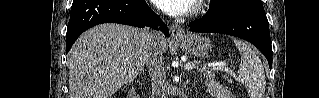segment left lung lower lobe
I'll return each instance as SVG.
<instances>
[{"instance_id":"left-lung-lower-lobe-1","label":"left lung lower lobe","mask_w":319,"mask_h":98,"mask_svg":"<svg viewBox=\"0 0 319 98\" xmlns=\"http://www.w3.org/2000/svg\"><path fill=\"white\" fill-rule=\"evenodd\" d=\"M192 32L222 33L242 38L255 45L272 67L269 23L261 0H242L215 18L205 15L189 23Z\"/></svg>"}]
</instances>
